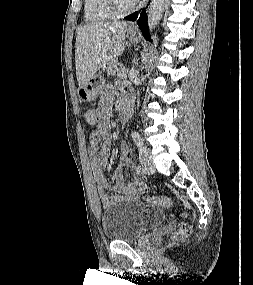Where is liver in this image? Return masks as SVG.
I'll return each mask as SVG.
<instances>
[{
  "instance_id": "obj_1",
  "label": "liver",
  "mask_w": 253,
  "mask_h": 285,
  "mask_svg": "<svg viewBox=\"0 0 253 285\" xmlns=\"http://www.w3.org/2000/svg\"><path fill=\"white\" fill-rule=\"evenodd\" d=\"M126 29V22L90 23L78 29L75 67L79 86L123 53Z\"/></svg>"
}]
</instances>
